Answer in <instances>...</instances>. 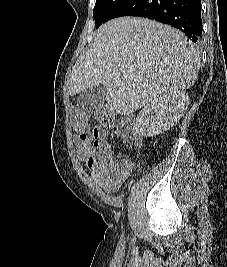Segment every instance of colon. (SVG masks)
I'll use <instances>...</instances> for the list:
<instances>
[{"label": "colon", "mask_w": 227, "mask_h": 267, "mask_svg": "<svg viewBox=\"0 0 227 267\" xmlns=\"http://www.w3.org/2000/svg\"><path fill=\"white\" fill-rule=\"evenodd\" d=\"M96 118L100 126H102L103 128L110 129L115 127V115L111 109H101L97 112ZM72 119L77 130L85 132L89 131V116L87 113L79 108H74L72 110ZM119 129L123 137L131 140H136L134 131L126 122H122Z\"/></svg>", "instance_id": "obj_1"}]
</instances>
